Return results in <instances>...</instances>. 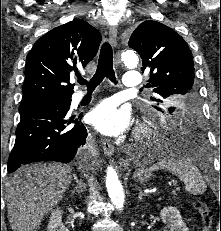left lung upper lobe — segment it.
Listing matches in <instances>:
<instances>
[{
  "instance_id": "1",
  "label": "left lung upper lobe",
  "mask_w": 221,
  "mask_h": 231,
  "mask_svg": "<svg viewBox=\"0 0 221 231\" xmlns=\"http://www.w3.org/2000/svg\"><path fill=\"white\" fill-rule=\"evenodd\" d=\"M129 47L139 52L142 71H150L147 87L158 94L151 98L155 108L166 116L174 106L194 108L198 91L194 77L192 53L184 39L166 25L157 21L142 22L132 33Z\"/></svg>"
}]
</instances>
